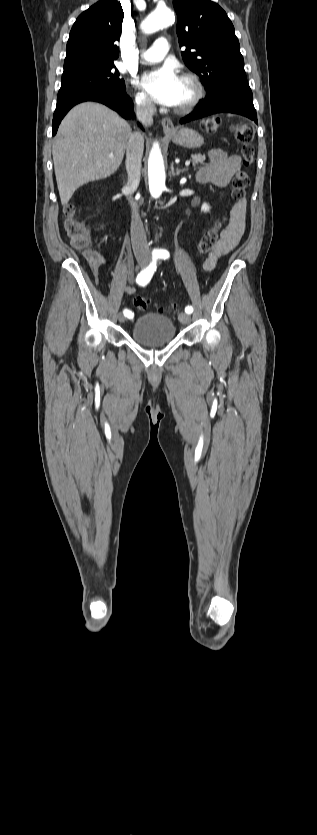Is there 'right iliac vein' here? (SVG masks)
<instances>
[{
	"mask_svg": "<svg viewBox=\"0 0 317 835\" xmlns=\"http://www.w3.org/2000/svg\"><path fill=\"white\" fill-rule=\"evenodd\" d=\"M139 264L141 265V267H145L147 265V260L141 258V259H139ZM118 320H119V322H124L125 321V315L123 313H119L118 314Z\"/></svg>",
	"mask_w": 317,
	"mask_h": 835,
	"instance_id": "right-iliac-vein-1",
	"label": "right iliac vein"
}]
</instances>
